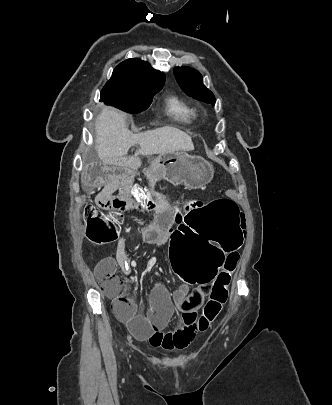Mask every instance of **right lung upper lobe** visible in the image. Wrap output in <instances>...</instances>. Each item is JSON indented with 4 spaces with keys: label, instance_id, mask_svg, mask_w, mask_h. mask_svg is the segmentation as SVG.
Segmentation results:
<instances>
[{
    "label": "right lung upper lobe",
    "instance_id": "cb5924a9",
    "mask_svg": "<svg viewBox=\"0 0 332 405\" xmlns=\"http://www.w3.org/2000/svg\"><path fill=\"white\" fill-rule=\"evenodd\" d=\"M111 78H121L130 84L139 86L164 85V73L154 70L149 63L138 58L127 59L113 71Z\"/></svg>",
    "mask_w": 332,
    "mask_h": 405
}]
</instances>
